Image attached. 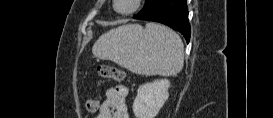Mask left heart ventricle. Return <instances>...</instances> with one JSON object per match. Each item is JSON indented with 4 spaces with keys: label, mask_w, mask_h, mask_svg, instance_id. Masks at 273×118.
Segmentation results:
<instances>
[{
    "label": "left heart ventricle",
    "mask_w": 273,
    "mask_h": 118,
    "mask_svg": "<svg viewBox=\"0 0 273 118\" xmlns=\"http://www.w3.org/2000/svg\"><path fill=\"white\" fill-rule=\"evenodd\" d=\"M130 7V2L128 0H123L119 3L120 9H127Z\"/></svg>",
    "instance_id": "b2bd125f"
}]
</instances>
